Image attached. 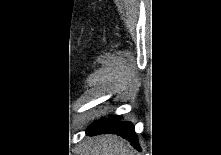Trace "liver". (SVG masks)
<instances>
[{"mask_svg":"<svg viewBox=\"0 0 221 155\" xmlns=\"http://www.w3.org/2000/svg\"><path fill=\"white\" fill-rule=\"evenodd\" d=\"M85 155H134L130 146L116 135L89 138L84 146Z\"/></svg>","mask_w":221,"mask_h":155,"instance_id":"1","label":"liver"}]
</instances>
